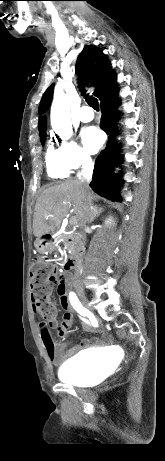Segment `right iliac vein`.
<instances>
[{
	"label": "right iliac vein",
	"mask_w": 165,
	"mask_h": 461,
	"mask_svg": "<svg viewBox=\"0 0 165 461\" xmlns=\"http://www.w3.org/2000/svg\"><path fill=\"white\" fill-rule=\"evenodd\" d=\"M77 293H78L79 299H80L81 303L83 304V306H84L90 313L93 314V313H94L93 308H92V306L90 305V303H89V301H88V299H87V297H86L84 291L81 290V289H79V290L77 291Z\"/></svg>",
	"instance_id": "right-iliac-vein-1"
}]
</instances>
